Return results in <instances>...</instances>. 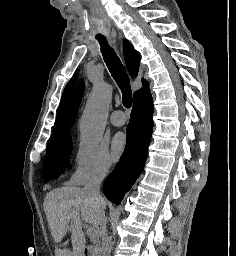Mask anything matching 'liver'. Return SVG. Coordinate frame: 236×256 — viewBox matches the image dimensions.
<instances>
[{"instance_id":"liver-1","label":"liver","mask_w":236,"mask_h":256,"mask_svg":"<svg viewBox=\"0 0 236 256\" xmlns=\"http://www.w3.org/2000/svg\"><path fill=\"white\" fill-rule=\"evenodd\" d=\"M43 206L56 246H60L59 242H62L67 232H71L72 250L55 248V256H83L86 238L82 232V220L98 228L104 220L106 204L100 212L96 200L81 188L65 186L48 192Z\"/></svg>"}]
</instances>
